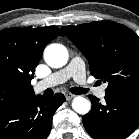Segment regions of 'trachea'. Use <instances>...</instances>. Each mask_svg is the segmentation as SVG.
<instances>
[{
  "mask_svg": "<svg viewBox=\"0 0 139 139\" xmlns=\"http://www.w3.org/2000/svg\"><path fill=\"white\" fill-rule=\"evenodd\" d=\"M71 92L73 94L79 95V94H85L87 92V90L83 89L81 87H73V88H71Z\"/></svg>",
  "mask_w": 139,
  "mask_h": 139,
  "instance_id": "1",
  "label": "trachea"
}]
</instances>
